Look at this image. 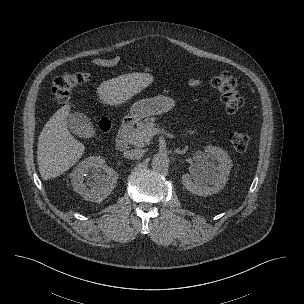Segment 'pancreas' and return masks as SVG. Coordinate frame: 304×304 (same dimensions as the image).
<instances>
[{
	"label": "pancreas",
	"instance_id": "pancreas-1",
	"mask_svg": "<svg viewBox=\"0 0 304 304\" xmlns=\"http://www.w3.org/2000/svg\"><path fill=\"white\" fill-rule=\"evenodd\" d=\"M155 118H147L137 122L136 128L127 133L128 142L136 147H144L150 144L152 136L149 135L150 129L155 128Z\"/></svg>",
	"mask_w": 304,
	"mask_h": 304
}]
</instances>
